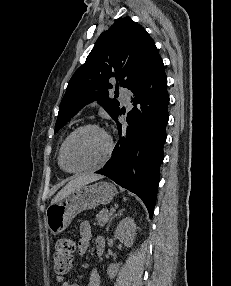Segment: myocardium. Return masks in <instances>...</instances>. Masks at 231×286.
Instances as JSON below:
<instances>
[{
    "label": "myocardium",
    "instance_id": "f54148a6",
    "mask_svg": "<svg viewBox=\"0 0 231 286\" xmlns=\"http://www.w3.org/2000/svg\"><path fill=\"white\" fill-rule=\"evenodd\" d=\"M85 129H94V130H97L99 131L100 133H102L104 135V137L106 138V141H107V149H106V152L105 154L97 161L87 165V166H84L82 168H79V169H75V170H70V169H67L64 165V153H65V149H66V146L68 144V142L70 141V139L76 135L78 132L82 131V130H85ZM114 150V141H113V138L112 136L110 135V133L104 128L102 127L101 125L99 124H96V123H86V124H83L77 128H75L66 138L65 140L63 141L62 145H61V148H60V152H59V165L60 167L68 172V173H81V172H85V171H88V170H91V169H94V168H97L99 166H102L103 164H105L111 157L112 155V152Z\"/></svg>",
    "mask_w": 231,
    "mask_h": 286
}]
</instances>
